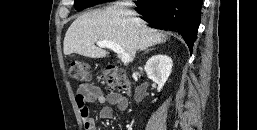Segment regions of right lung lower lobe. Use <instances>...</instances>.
<instances>
[{"label": "right lung lower lobe", "instance_id": "obj_1", "mask_svg": "<svg viewBox=\"0 0 257 130\" xmlns=\"http://www.w3.org/2000/svg\"><path fill=\"white\" fill-rule=\"evenodd\" d=\"M202 0H152L137 4L136 11L149 26L180 34L192 51L201 21Z\"/></svg>", "mask_w": 257, "mask_h": 130}]
</instances>
